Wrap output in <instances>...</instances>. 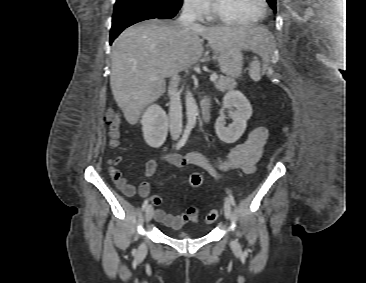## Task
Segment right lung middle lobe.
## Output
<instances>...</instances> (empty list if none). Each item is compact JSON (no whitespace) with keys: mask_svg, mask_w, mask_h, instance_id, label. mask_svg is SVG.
<instances>
[{"mask_svg":"<svg viewBox=\"0 0 366 283\" xmlns=\"http://www.w3.org/2000/svg\"><path fill=\"white\" fill-rule=\"evenodd\" d=\"M128 1V0H117V2ZM130 1V0H129ZM136 2H146V1H154L157 3H161L168 10H176L178 11L181 8L182 0H131Z\"/></svg>","mask_w":366,"mask_h":283,"instance_id":"obj_1","label":"right lung middle lobe"}]
</instances>
